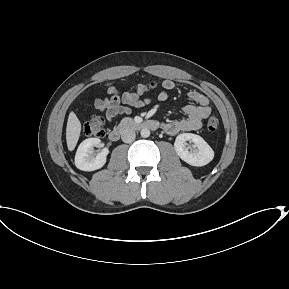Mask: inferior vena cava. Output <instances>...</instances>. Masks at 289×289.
<instances>
[{
    "instance_id": "1",
    "label": "inferior vena cava",
    "mask_w": 289,
    "mask_h": 289,
    "mask_svg": "<svg viewBox=\"0 0 289 289\" xmlns=\"http://www.w3.org/2000/svg\"><path fill=\"white\" fill-rule=\"evenodd\" d=\"M122 141L125 143H131L135 140L136 134L131 129H126L121 134Z\"/></svg>"
}]
</instances>
